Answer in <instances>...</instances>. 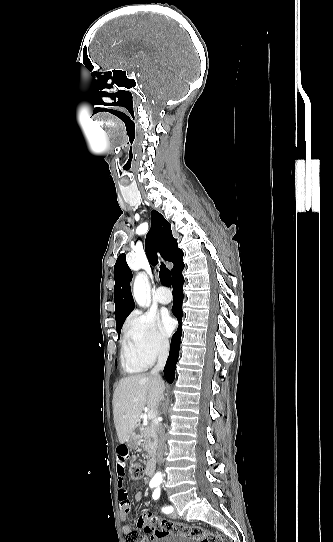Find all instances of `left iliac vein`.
Returning a JSON list of instances; mask_svg holds the SVG:
<instances>
[{
	"mask_svg": "<svg viewBox=\"0 0 333 542\" xmlns=\"http://www.w3.org/2000/svg\"><path fill=\"white\" fill-rule=\"evenodd\" d=\"M172 516H173V517H175V516H176V511H174V512L172 513Z\"/></svg>",
	"mask_w": 333,
	"mask_h": 542,
	"instance_id": "4c4485c4",
	"label": "left iliac vein"
}]
</instances>
